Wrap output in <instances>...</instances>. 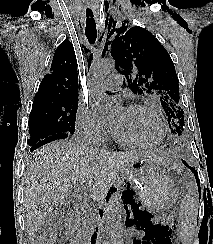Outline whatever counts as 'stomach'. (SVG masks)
<instances>
[{
  "mask_svg": "<svg viewBox=\"0 0 213 244\" xmlns=\"http://www.w3.org/2000/svg\"><path fill=\"white\" fill-rule=\"evenodd\" d=\"M144 206L158 213H167L179 199L177 183L163 171L158 163L139 159L132 169L124 173Z\"/></svg>",
  "mask_w": 213,
  "mask_h": 244,
  "instance_id": "0dacf381",
  "label": "stomach"
}]
</instances>
